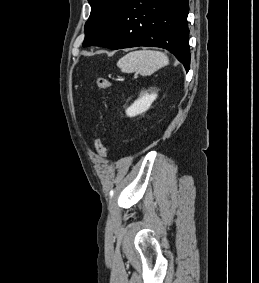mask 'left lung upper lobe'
Returning a JSON list of instances; mask_svg holds the SVG:
<instances>
[{
	"label": "left lung upper lobe",
	"instance_id": "5c2ea615",
	"mask_svg": "<svg viewBox=\"0 0 259 283\" xmlns=\"http://www.w3.org/2000/svg\"><path fill=\"white\" fill-rule=\"evenodd\" d=\"M91 14L85 24L83 47L92 46L109 31L127 0H88Z\"/></svg>",
	"mask_w": 259,
	"mask_h": 283
}]
</instances>
